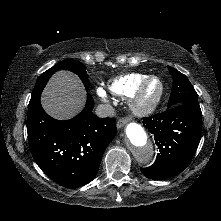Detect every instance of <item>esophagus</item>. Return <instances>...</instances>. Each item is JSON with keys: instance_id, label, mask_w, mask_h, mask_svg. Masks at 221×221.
<instances>
[{"instance_id": "34e87169", "label": "esophagus", "mask_w": 221, "mask_h": 221, "mask_svg": "<svg viewBox=\"0 0 221 221\" xmlns=\"http://www.w3.org/2000/svg\"><path fill=\"white\" fill-rule=\"evenodd\" d=\"M128 121V118L126 117H123V118H120L117 122V128L120 129L122 128L123 126H125V124L127 123Z\"/></svg>"}]
</instances>
